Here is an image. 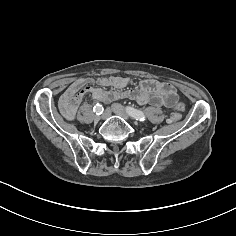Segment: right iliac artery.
I'll return each instance as SVG.
<instances>
[{
    "label": "right iliac artery",
    "mask_w": 236,
    "mask_h": 236,
    "mask_svg": "<svg viewBox=\"0 0 236 236\" xmlns=\"http://www.w3.org/2000/svg\"><path fill=\"white\" fill-rule=\"evenodd\" d=\"M104 108L101 104L97 103L94 108H93V111L97 114V115H100L102 114Z\"/></svg>",
    "instance_id": "82829eb1"
}]
</instances>
